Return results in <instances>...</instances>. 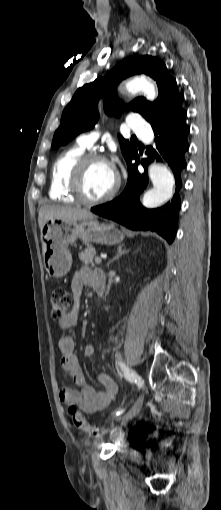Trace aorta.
Listing matches in <instances>:
<instances>
[{"label": "aorta", "mask_w": 221, "mask_h": 510, "mask_svg": "<svg viewBox=\"0 0 221 510\" xmlns=\"http://www.w3.org/2000/svg\"><path fill=\"white\" fill-rule=\"evenodd\" d=\"M125 88L131 93L142 92L151 101L157 96L154 85L145 77H135L129 80ZM149 177L153 188L144 194L142 204L146 208H156L171 198L174 177L164 165L157 163L150 165Z\"/></svg>", "instance_id": "762f6f07"}]
</instances>
